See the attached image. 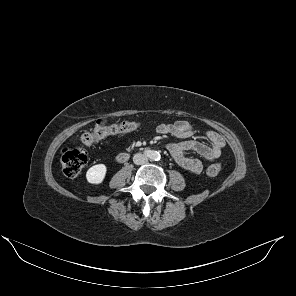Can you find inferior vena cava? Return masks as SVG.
Instances as JSON below:
<instances>
[{
	"label": "inferior vena cava",
	"mask_w": 296,
	"mask_h": 296,
	"mask_svg": "<svg viewBox=\"0 0 296 296\" xmlns=\"http://www.w3.org/2000/svg\"><path fill=\"white\" fill-rule=\"evenodd\" d=\"M133 162L136 165H142V164H146L148 162V158L146 155L141 154V153H137L134 155L133 157Z\"/></svg>",
	"instance_id": "602c4592"
}]
</instances>
